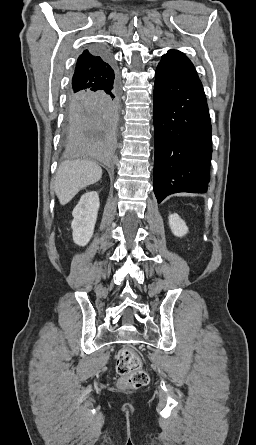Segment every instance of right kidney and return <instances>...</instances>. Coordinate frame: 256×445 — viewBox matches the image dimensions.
I'll return each instance as SVG.
<instances>
[{
    "label": "right kidney",
    "instance_id": "right-kidney-1",
    "mask_svg": "<svg viewBox=\"0 0 256 445\" xmlns=\"http://www.w3.org/2000/svg\"><path fill=\"white\" fill-rule=\"evenodd\" d=\"M99 196L95 191L86 192L74 208L71 227L73 241L79 246H85L91 239L99 209Z\"/></svg>",
    "mask_w": 256,
    "mask_h": 445
}]
</instances>
